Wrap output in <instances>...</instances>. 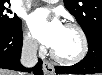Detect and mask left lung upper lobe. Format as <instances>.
Segmentation results:
<instances>
[{
  "instance_id": "1",
  "label": "left lung upper lobe",
  "mask_w": 102,
  "mask_h": 75,
  "mask_svg": "<svg viewBox=\"0 0 102 75\" xmlns=\"http://www.w3.org/2000/svg\"><path fill=\"white\" fill-rule=\"evenodd\" d=\"M64 4L87 37L102 32V0H64Z\"/></svg>"
}]
</instances>
